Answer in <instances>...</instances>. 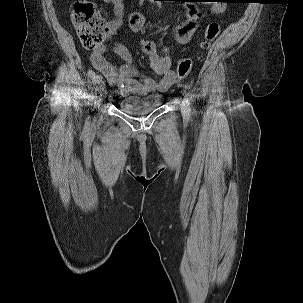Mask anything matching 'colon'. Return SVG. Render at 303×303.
I'll return each mask as SVG.
<instances>
[{"mask_svg":"<svg viewBox=\"0 0 303 303\" xmlns=\"http://www.w3.org/2000/svg\"><path fill=\"white\" fill-rule=\"evenodd\" d=\"M72 22L77 30V35L86 48H96L100 46L109 27L99 14L96 5L90 0H76L71 8ZM220 32L217 22H210L205 30V41L201 44L203 49H208L210 42L215 40ZM191 68V60L183 58L178 63L176 73L182 78L188 74Z\"/></svg>","mask_w":303,"mask_h":303,"instance_id":"5ec220e1","label":"colon"}]
</instances>
